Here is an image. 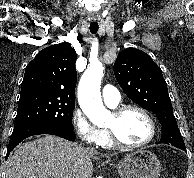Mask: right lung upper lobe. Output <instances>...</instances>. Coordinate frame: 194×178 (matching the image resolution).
Masks as SVG:
<instances>
[{
  "mask_svg": "<svg viewBox=\"0 0 194 178\" xmlns=\"http://www.w3.org/2000/svg\"><path fill=\"white\" fill-rule=\"evenodd\" d=\"M75 50L66 42L41 50L27 65L19 100L61 97L75 100Z\"/></svg>",
  "mask_w": 194,
  "mask_h": 178,
  "instance_id": "1",
  "label": "right lung upper lobe"
}]
</instances>
